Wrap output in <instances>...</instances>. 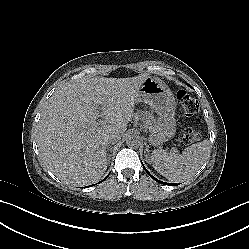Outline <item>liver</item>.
Returning a JSON list of instances; mask_svg holds the SVG:
<instances>
[{"label": "liver", "instance_id": "1", "mask_svg": "<svg viewBox=\"0 0 249 249\" xmlns=\"http://www.w3.org/2000/svg\"><path fill=\"white\" fill-rule=\"evenodd\" d=\"M138 80H85L60 90L38 124L40 159L55 172H69L83 184L101 179L107 169L106 137L123 135L132 118ZM101 117L102 120H96Z\"/></svg>", "mask_w": 249, "mask_h": 249}]
</instances>
